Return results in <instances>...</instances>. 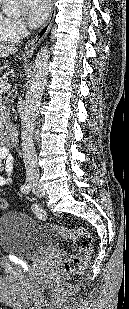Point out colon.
<instances>
[{
  "mask_svg": "<svg viewBox=\"0 0 129 309\" xmlns=\"http://www.w3.org/2000/svg\"><path fill=\"white\" fill-rule=\"evenodd\" d=\"M7 202L0 198V209H6ZM39 218H45L46 214L42 209L36 211ZM63 238L69 239L72 242V249L76 255L65 259L61 264V271L63 274H72L82 270L90 257L92 251V237L89 231L84 227L75 229L65 228L59 225L51 226Z\"/></svg>",
  "mask_w": 129,
  "mask_h": 309,
  "instance_id": "colon-1",
  "label": "colon"
}]
</instances>
